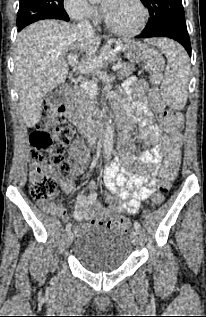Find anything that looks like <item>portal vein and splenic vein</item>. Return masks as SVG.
<instances>
[{
  "instance_id": "18ae733b",
  "label": "portal vein and splenic vein",
  "mask_w": 206,
  "mask_h": 317,
  "mask_svg": "<svg viewBox=\"0 0 206 317\" xmlns=\"http://www.w3.org/2000/svg\"><path fill=\"white\" fill-rule=\"evenodd\" d=\"M68 64L72 67H74L77 64V56L75 54H69L68 56ZM92 66V63H83V68H90ZM122 67V64L117 63L113 66V70L116 71ZM81 88L89 93L90 95H96L98 93V87L94 82H82Z\"/></svg>"
}]
</instances>
